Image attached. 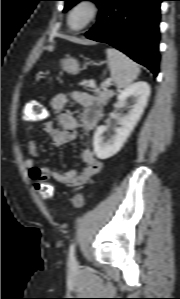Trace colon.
Returning a JSON list of instances; mask_svg holds the SVG:
<instances>
[{"instance_id": "5ec220e1", "label": "colon", "mask_w": 180, "mask_h": 299, "mask_svg": "<svg viewBox=\"0 0 180 299\" xmlns=\"http://www.w3.org/2000/svg\"><path fill=\"white\" fill-rule=\"evenodd\" d=\"M25 117L27 120L30 121H41L48 117V110L45 105L37 101H30L27 104V112L25 114ZM35 188L39 192V194L45 199H51L54 197V187L48 181L38 182ZM73 203L76 206H81L83 204V197H74Z\"/></svg>"}]
</instances>
